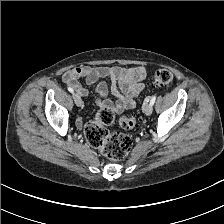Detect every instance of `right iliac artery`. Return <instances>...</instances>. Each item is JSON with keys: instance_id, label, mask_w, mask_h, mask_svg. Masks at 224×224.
<instances>
[{"instance_id": "1", "label": "right iliac artery", "mask_w": 224, "mask_h": 224, "mask_svg": "<svg viewBox=\"0 0 224 224\" xmlns=\"http://www.w3.org/2000/svg\"><path fill=\"white\" fill-rule=\"evenodd\" d=\"M68 91L71 92L72 94L74 93V90L71 87H68Z\"/></svg>"}]
</instances>
